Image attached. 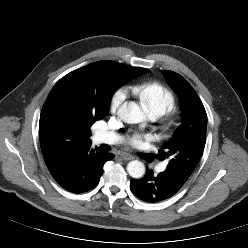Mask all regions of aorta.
Here are the masks:
<instances>
[{
	"label": "aorta",
	"instance_id": "762f6f07",
	"mask_svg": "<svg viewBox=\"0 0 248 248\" xmlns=\"http://www.w3.org/2000/svg\"><path fill=\"white\" fill-rule=\"evenodd\" d=\"M118 116L125 123L136 124L145 120L140 106L135 102H125L118 110ZM127 172L135 179L141 178L145 173V166L141 161L134 160L127 164Z\"/></svg>",
	"mask_w": 248,
	"mask_h": 248
}]
</instances>
